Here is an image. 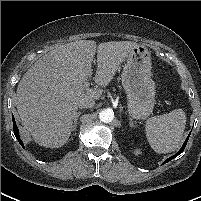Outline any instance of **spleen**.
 <instances>
[{
  "label": "spleen",
  "mask_w": 201,
  "mask_h": 201,
  "mask_svg": "<svg viewBox=\"0 0 201 201\" xmlns=\"http://www.w3.org/2000/svg\"><path fill=\"white\" fill-rule=\"evenodd\" d=\"M185 125L186 114L182 109L148 119L145 131L150 146L157 153L175 151L182 142Z\"/></svg>",
  "instance_id": "spleen-1"
}]
</instances>
